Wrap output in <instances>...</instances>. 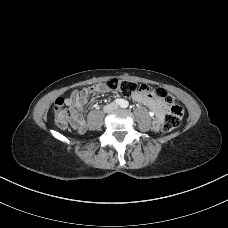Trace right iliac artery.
<instances>
[{
	"label": "right iliac artery",
	"mask_w": 228,
	"mask_h": 228,
	"mask_svg": "<svg viewBox=\"0 0 228 228\" xmlns=\"http://www.w3.org/2000/svg\"><path fill=\"white\" fill-rule=\"evenodd\" d=\"M115 103L118 105H121L123 103V100L122 99H116Z\"/></svg>",
	"instance_id": "right-iliac-artery-1"
}]
</instances>
